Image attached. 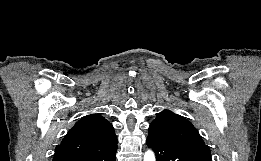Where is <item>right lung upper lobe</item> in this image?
<instances>
[{
  "instance_id": "cb5924a9",
  "label": "right lung upper lobe",
  "mask_w": 261,
  "mask_h": 161,
  "mask_svg": "<svg viewBox=\"0 0 261 161\" xmlns=\"http://www.w3.org/2000/svg\"><path fill=\"white\" fill-rule=\"evenodd\" d=\"M117 143L113 126L102 116L91 114L83 117L56 146L53 161L103 151Z\"/></svg>"
}]
</instances>
